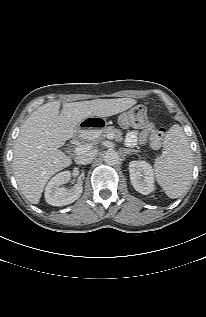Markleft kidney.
<instances>
[{"label":"left kidney","mask_w":206,"mask_h":317,"mask_svg":"<svg viewBox=\"0 0 206 317\" xmlns=\"http://www.w3.org/2000/svg\"><path fill=\"white\" fill-rule=\"evenodd\" d=\"M130 181L134 189L147 195L154 190L153 169L146 161H131L129 163Z\"/></svg>","instance_id":"obj_1"}]
</instances>
